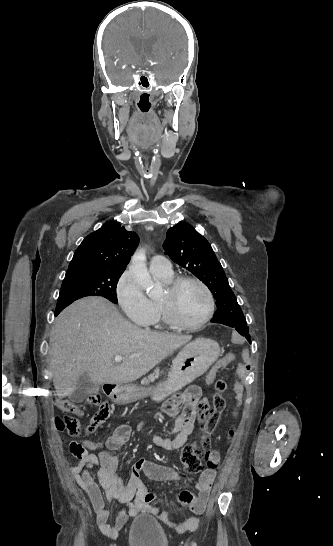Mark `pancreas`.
Returning a JSON list of instances; mask_svg holds the SVG:
<instances>
[{
    "label": "pancreas",
    "mask_w": 333,
    "mask_h": 546,
    "mask_svg": "<svg viewBox=\"0 0 333 546\" xmlns=\"http://www.w3.org/2000/svg\"><path fill=\"white\" fill-rule=\"evenodd\" d=\"M162 372L159 370V368H156L152 374H150L147 378H143L141 381L142 385H149L151 382H154L156 379H158L161 376Z\"/></svg>",
    "instance_id": "1"
}]
</instances>
